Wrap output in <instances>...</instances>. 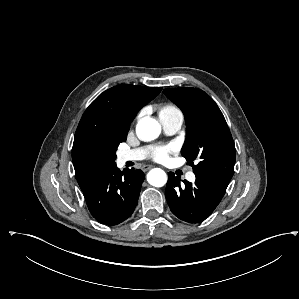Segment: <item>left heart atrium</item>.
I'll list each match as a JSON object with an SVG mask.
<instances>
[{
  "mask_svg": "<svg viewBox=\"0 0 299 299\" xmlns=\"http://www.w3.org/2000/svg\"><path fill=\"white\" fill-rule=\"evenodd\" d=\"M176 151V148L173 145L156 147L153 149L151 157L156 161H167L169 155Z\"/></svg>",
  "mask_w": 299,
  "mask_h": 299,
  "instance_id": "39dd6f15",
  "label": "left heart atrium"
}]
</instances>
